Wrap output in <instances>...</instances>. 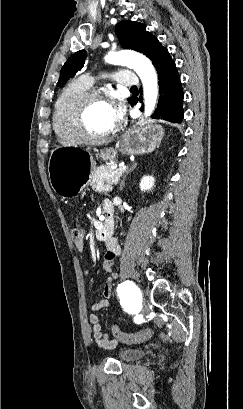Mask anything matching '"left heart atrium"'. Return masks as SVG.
Wrapping results in <instances>:
<instances>
[{"label": "left heart atrium", "instance_id": "39dd6f15", "mask_svg": "<svg viewBox=\"0 0 243 409\" xmlns=\"http://www.w3.org/2000/svg\"><path fill=\"white\" fill-rule=\"evenodd\" d=\"M123 117V110L120 107L113 109V123L114 126L122 119Z\"/></svg>", "mask_w": 243, "mask_h": 409}]
</instances>
